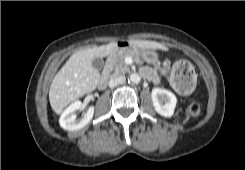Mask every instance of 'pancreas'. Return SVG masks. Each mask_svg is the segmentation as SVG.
<instances>
[{
  "label": "pancreas",
  "instance_id": "obj_1",
  "mask_svg": "<svg viewBox=\"0 0 245 170\" xmlns=\"http://www.w3.org/2000/svg\"><path fill=\"white\" fill-rule=\"evenodd\" d=\"M127 57H132L134 61L138 64H142L143 61L141 60L140 56L132 51H121L118 52L114 59H113V75H124L125 73L129 72V66L126 64L125 59Z\"/></svg>",
  "mask_w": 245,
  "mask_h": 170
}]
</instances>
